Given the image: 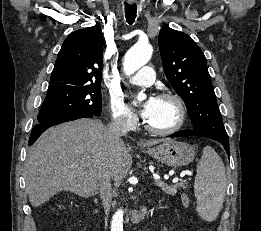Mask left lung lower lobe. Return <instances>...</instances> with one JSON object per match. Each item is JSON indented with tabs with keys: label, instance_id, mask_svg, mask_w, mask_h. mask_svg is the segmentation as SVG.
<instances>
[{
	"label": "left lung lower lobe",
	"instance_id": "obj_1",
	"mask_svg": "<svg viewBox=\"0 0 261 231\" xmlns=\"http://www.w3.org/2000/svg\"><path fill=\"white\" fill-rule=\"evenodd\" d=\"M186 136H202V137L210 138V137H207L206 135H204L202 132L197 131L195 129L194 130L187 129V130L178 131V132L170 135L169 137H186ZM210 139L220 142L225 147V150H226L227 154L229 155V141L227 139L214 138V137H212Z\"/></svg>",
	"mask_w": 261,
	"mask_h": 231
}]
</instances>
